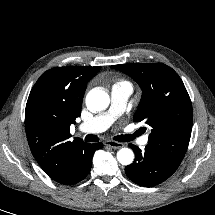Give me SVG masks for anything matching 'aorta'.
Returning a JSON list of instances; mask_svg holds the SVG:
<instances>
[{"label": "aorta", "instance_id": "obj_1", "mask_svg": "<svg viewBox=\"0 0 215 215\" xmlns=\"http://www.w3.org/2000/svg\"><path fill=\"white\" fill-rule=\"evenodd\" d=\"M109 95L100 89H92L86 96V105L94 111H101L109 106ZM117 160L122 165H129L134 160V153L131 149L122 148L117 152Z\"/></svg>", "mask_w": 215, "mask_h": 215}]
</instances>
